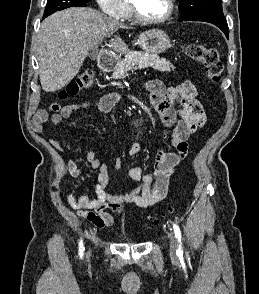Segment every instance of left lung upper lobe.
<instances>
[{"instance_id":"left-lung-upper-lobe-1","label":"left lung upper lobe","mask_w":259,"mask_h":294,"mask_svg":"<svg viewBox=\"0 0 259 294\" xmlns=\"http://www.w3.org/2000/svg\"><path fill=\"white\" fill-rule=\"evenodd\" d=\"M180 3V19L196 17L225 18L222 0H177Z\"/></svg>"}]
</instances>
